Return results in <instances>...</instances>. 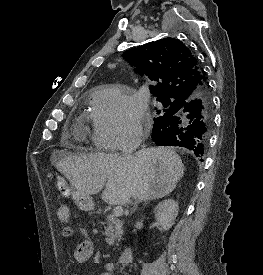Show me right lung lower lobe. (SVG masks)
<instances>
[{
  "label": "right lung lower lobe",
  "instance_id": "98d812e1",
  "mask_svg": "<svg viewBox=\"0 0 263 275\" xmlns=\"http://www.w3.org/2000/svg\"><path fill=\"white\" fill-rule=\"evenodd\" d=\"M180 112L154 122L153 141L159 146L187 148L202 158L212 127V101L208 86L178 101ZM203 161V159H201Z\"/></svg>",
  "mask_w": 263,
  "mask_h": 275
}]
</instances>
